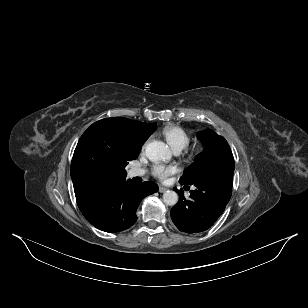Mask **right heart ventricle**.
Masks as SVG:
<instances>
[{
	"instance_id": "right-heart-ventricle-1",
	"label": "right heart ventricle",
	"mask_w": 308,
	"mask_h": 308,
	"mask_svg": "<svg viewBox=\"0 0 308 308\" xmlns=\"http://www.w3.org/2000/svg\"><path fill=\"white\" fill-rule=\"evenodd\" d=\"M162 135L173 150H182L190 141L189 134L177 125L165 127Z\"/></svg>"
}]
</instances>
